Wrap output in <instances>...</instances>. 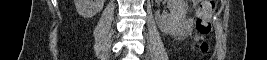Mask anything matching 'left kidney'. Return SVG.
Segmentation results:
<instances>
[{
  "mask_svg": "<svg viewBox=\"0 0 267 60\" xmlns=\"http://www.w3.org/2000/svg\"><path fill=\"white\" fill-rule=\"evenodd\" d=\"M169 13L155 14L159 29L164 33H174L185 20L187 6L182 0H167Z\"/></svg>",
  "mask_w": 267,
  "mask_h": 60,
  "instance_id": "5707ae66",
  "label": "left kidney"
}]
</instances>
